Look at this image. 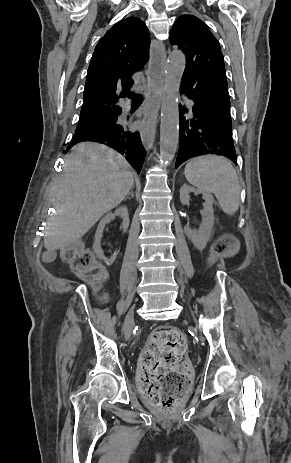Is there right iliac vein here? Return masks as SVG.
Listing matches in <instances>:
<instances>
[{
	"instance_id": "63e3f726",
	"label": "right iliac vein",
	"mask_w": 291,
	"mask_h": 463,
	"mask_svg": "<svg viewBox=\"0 0 291 463\" xmlns=\"http://www.w3.org/2000/svg\"><path fill=\"white\" fill-rule=\"evenodd\" d=\"M134 318H133V309H131L125 319L124 324V334L128 336L133 328Z\"/></svg>"
}]
</instances>
